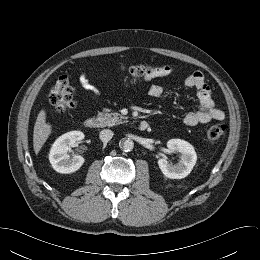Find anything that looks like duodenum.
I'll return each instance as SVG.
<instances>
[{"instance_id":"duodenum-1","label":"duodenum","mask_w":260,"mask_h":260,"mask_svg":"<svg viewBox=\"0 0 260 260\" xmlns=\"http://www.w3.org/2000/svg\"><path fill=\"white\" fill-rule=\"evenodd\" d=\"M84 125L89 129H98L102 126V122L95 117H89L85 120ZM138 128L141 131H146L149 128V123L143 120L139 123Z\"/></svg>"}]
</instances>
